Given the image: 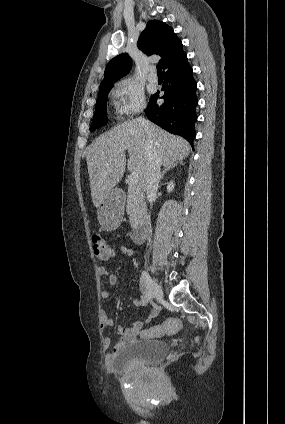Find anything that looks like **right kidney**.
<instances>
[{"label": "right kidney", "instance_id": "ca27d5eb", "mask_svg": "<svg viewBox=\"0 0 285 424\" xmlns=\"http://www.w3.org/2000/svg\"><path fill=\"white\" fill-rule=\"evenodd\" d=\"M173 189H174V182L170 181L167 185V192L170 193L173 191Z\"/></svg>", "mask_w": 285, "mask_h": 424}]
</instances>
